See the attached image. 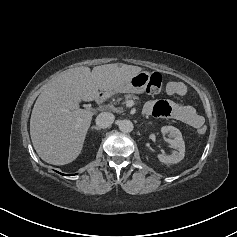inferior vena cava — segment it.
Listing matches in <instances>:
<instances>
[{"label":"inferior vena cava","mask_w":237,"mask_h":237,"mask_svg":"<svg viewBox=\"0 0 237 237\" xmlns=\"http://www.w3.org/2000/svg\"><path fill=\"white\" fill-rule=\"evenodd\" d=\"M114 115L109 112H102L96 117V125L100 128H107L114 122Z\"/></svg>","instance_id":"obj_1"}]
</instances>
